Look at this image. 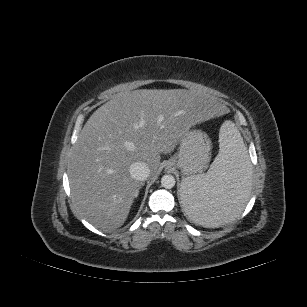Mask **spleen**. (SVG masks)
I'll use <instances>...</instances> for the list:
<instances>
[{
	"mask_svg": "<svg viewBox=\"0 0 307 307\" xmlns=\"http://www.w3.org/2000/svg\"><path fill=\"white\" fill-rule=\"evenodd\" d=\"M219 148L207 173L184 178L180 188L186 214L206 227H218L237 218L251 190L249 156L231 121L220 128Z\"/></svg>",
	"mask_w": 307,
	"mask_h": 307,
	"instance_id": "3e777b00",
	"label": "spleen"
}]
</instances>
